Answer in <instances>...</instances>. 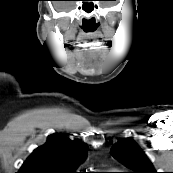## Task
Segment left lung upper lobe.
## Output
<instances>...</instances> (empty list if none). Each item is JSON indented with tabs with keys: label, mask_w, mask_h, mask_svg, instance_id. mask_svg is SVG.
<instances>
[{
	"label": "left lung upper lobe",
	"mask_w": 173,
	"mask_h": 173,
	"mask_svg": "<svg viewBox=\"0 0 173 173\" xmlns=\"http://www.w3.org/2000/svg\"><path fill=\"white\" fill-rule=\"evenodd\" d=\"M111 154L131 169V173H157L145 153L131 138L119 141L111 149Z\"/></svg>",
	"instance_id": "left-lung-upper-lobe-1"
}]
</instances>
